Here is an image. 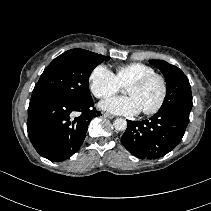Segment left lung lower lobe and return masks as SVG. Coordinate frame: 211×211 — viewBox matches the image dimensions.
Masks as SVG:
<instances>
[{
    "label": "left lung lower lobe",
    "instance_id": "0a47b994",
    "mask_svg": "<svg viewBox=\"0 0 211 211\" xmlns=\"http://www.w3.org/2000/svg\"><path fill=\"white\" fill-rule=\"evenodd\" d=\"M190 112L170 107L159 110L149 120L129 121L121 137L124 147L139 158L156 159L173 150L181 141Z\"/></svg>",
    "mask_w": 211,
    "mask_h": 211
}]
</instances>
